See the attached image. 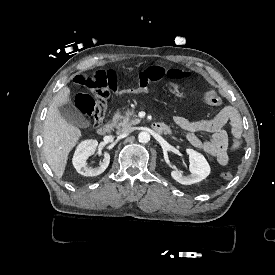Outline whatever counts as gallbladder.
Segmentation results:
<instances>
[{"label": "gallbladder", "instance_id": "bac80fb5", "mask_svg": "<svg viewBox=\"0 0 275 275\" xmlns=\"http://www.w3.org/2000/svg\"><path fill=\"white\" fill-rule=\"evenodd\" d=\"M61 116L70 124L79 128H88L91 121L73 104L63 105L59 108Z\"/></svg>", "mask_w": 275, "mask_h": 275}]
</instances>
